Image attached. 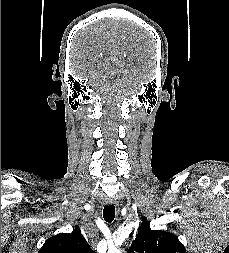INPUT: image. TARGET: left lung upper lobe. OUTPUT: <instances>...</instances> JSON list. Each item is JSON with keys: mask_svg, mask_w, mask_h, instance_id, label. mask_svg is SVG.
Instances as JSON below:
<instances>
[{"mask_svg": "<svg viewBox=\"0 0 229 253\" xmlns=\"http://www.w3.org/2000/svg\"><path fill=\"white\" fill-rule=\"evenodd\" d=\"M142 221L136 239L127 253H186L178 237L161 230H151L145 217Z\"/></svg>", "mask_w": 229, "mask_h": 253, "instance_id": "obj_1", "label": "left lung upper lobe"}]
</instances>
